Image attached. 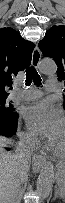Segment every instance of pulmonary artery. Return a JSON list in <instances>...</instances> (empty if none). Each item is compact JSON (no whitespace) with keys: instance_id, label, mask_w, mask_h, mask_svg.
I'll return each instance as SVG.
<instances>
[{"instance_id":"1","label":"pulmonary artery","mask_w":65,"mask_h":203,"mask_svg":"<svg viewBox=\"0 0 65 203\" xmlns=\"http://www.w3.org/2000/svg\"><path fill=\"white\" fill-rule=\"evenodd\" d=\"M45 88L48 92H58L59 84L55 79H48ZM41 96H42V92L38 89H26L13 94L11 96V100L12 101H31V100L38 99Z\"/></svg>"}]
</instances>
